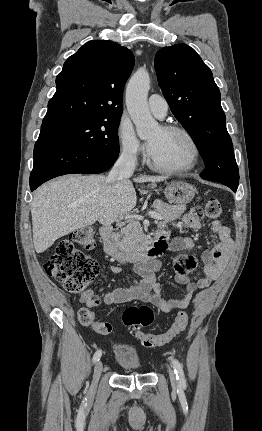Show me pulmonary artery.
Wrapping results in <instances>:
<instances>
[{
    "instance_id": "pulmonary-artery-1",
    "label": "pulmonary artery",
    "mask_w": 262,
    "mask_h": 431,
    "mask_svg": "<svg viewBox=\"0 0 262 431\" xmlns=\"http://www.w3.org/2000/svg\"><path fill=\"white\" fill-rule=\"evenodd\" d=\"M148 106L150 111L157 118H164L167 115V111H168L167 101L158 94L150 95L148 99Z\"/></svg>"
}]
</instances>
